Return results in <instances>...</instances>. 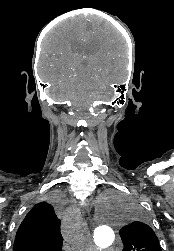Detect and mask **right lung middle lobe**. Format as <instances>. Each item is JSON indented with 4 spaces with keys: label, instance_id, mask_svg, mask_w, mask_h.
Returning a JSON list of instances; mask_svg holds the SVG:
<instances>
[{
    "label": "right lung middle lobe",
    "instance_id": "dd1d6c3e",
    "mask_svg": "<svg viewBox=\"0 0 174 251\" xmlns=\"http://www.w3.org/2000/svg\"><path fill=\"white\" fill-rule=\"evenodd\" d=\"M44 202H50L57 207H60V196L59 195H48L47 200Z\"/></svg>",
    "mask_w": 174,
    "mask_h": 251
}]
</instances>
